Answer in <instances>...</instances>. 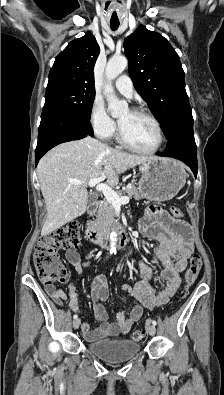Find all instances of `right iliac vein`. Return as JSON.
<instances>
[{"label":"right iliac vein","instance_id":"obj_1","mask_svg":"<svg viewBox=\"0 0 224 395\" xmlns=\"http://www.w3.org/2000/svg\"><path fill=\"white\" fill-rule=\"evenodd\" d=\"M80 323H81V320H80V319H75V320L73 321V328H74V329H78L79 326H80Z\"/></svg>","mask_w":224,"mask_h":395}]
</instances>
